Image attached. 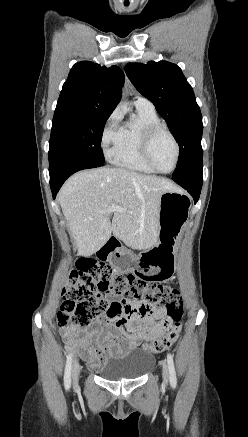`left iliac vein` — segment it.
I'll return each mask as SVG.
<instances>
[{
	"label": "left iliac vein",
	"mask_w": 248,
	"mask_h": 437,
	"mask_svg": "<svg viewBox=\"0 0 248 437\" xmlns=\"http://www.w3.org/2000/svg\"><path fill=\"white\" fill-rule=\"evenodd\" d=\"M162 378H163V382L167 384L169 380V371L165 360L162 361Z\"/></svg>",
	"instance_id": "left-iliac-vein-1"
}]
</instances>
